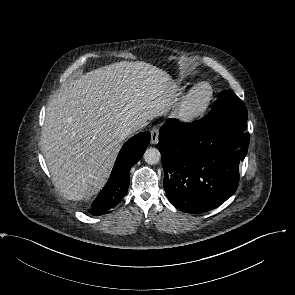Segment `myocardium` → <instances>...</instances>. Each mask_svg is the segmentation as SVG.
<instances>
[{
  "instance_id": "f54148a6",
  "label": "myocardium",
  "mask_w": 295,
  "mask_h": 295,
  "mask_svg": "<svg viewBox=\"0 0 295 295\" xmlns=\"http://www.w3.org/2000/svg\"><path fill=\"white\" fill-rule=\"evenodd\" d=\"M214 97V89L207 82L192 88L183 98L177 111V118L184 124H193L204 117Z\"/></svg>"
}]
</instances>
